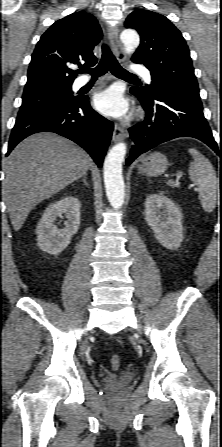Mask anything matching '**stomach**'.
<instances>
[{
  "instance_id": "1",
  "label": "stomach",
  "mask_w": 222,
  "mask_h": 447,
  "mask_svg": "<svg viewBox=\"0 0 222 447\" xmlns=\"http://www.w3.org/2000/svg\"><path fill=\"white\" fill-rule=\"evenodd\" d=\"M168 165V160L165 155L154 152L142 160L138 170L140 173L148 176H158L165 172Z\"/></svg>"
}]
</instances>
